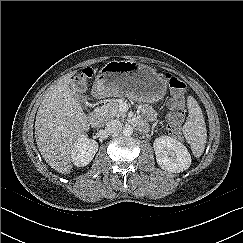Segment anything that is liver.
<instances>
[{
    "label": "liver",
    "instance_id": "6515ba94",
    "mask_svg": "<svg viewBox=\"0 0 243 243\" xmlns=\"http://www.w3.org/2000/svg\"><path fill=\"white\" fill-rule=\"evenodd\" d=\"M74 74L65 75L48 89L35 120L37 147L46 163L62 174L71 172L73 145L89 130L88 117L69 86Z\"/></svg>",
    "mask_w": 243,
    "mask_h": 243
}]
</instances>
